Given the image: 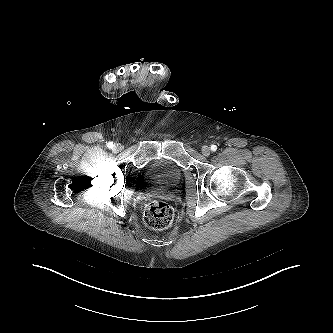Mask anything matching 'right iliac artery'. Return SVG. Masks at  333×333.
I'll return each mask as SVG.
<instances>
[{
	"instance_id": "right-iliac-artery-1",
	"label": "right iliac artery",
	"mask_w": 333,
	"mask_h": 333,
	"mask_svg": "<svg viewBox=\"0 0 333 333\" xmlns=\"http://www.w3.org/2000/svg\"><path fill=\"white\" fill-rule=\"evenodd\" d=\"M107 147L110 148V149H112V148L114 147L113 142H109V143L107 144Z\"/></svg>"
}]
</instances>
